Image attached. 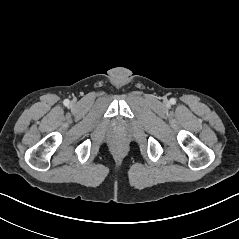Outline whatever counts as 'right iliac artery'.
<instances>
[{
	"mask_svg": "<svg viewBox=\"0 0 239 239\" xmlns=\"http://www.w3.org/2000/svg\"><path fill=\"white\" fill-rule=\"evenodd\" d=\"M64 105H69V100L68 99H66V100H64Z\"/></svg>",
	"mask_w": 239,
	"mask_h": 239,
	"instance_id": "82829eb1",
	"label": "right iliac artery"
}]
</instances>
